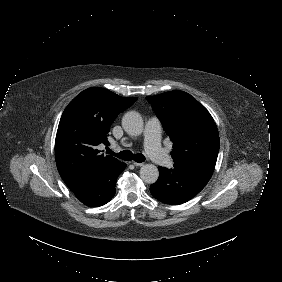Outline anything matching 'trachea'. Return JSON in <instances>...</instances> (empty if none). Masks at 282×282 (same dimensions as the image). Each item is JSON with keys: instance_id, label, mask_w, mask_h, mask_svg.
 I'll use <instances>...</instances> for the list:
<instances>
[{"instance_id": "obj_1", "label": "trachea", "mask_w": 282, "mask_h": 282, "mask_svg": "<svg viewBox=\"0 0 282 282\" xmlns=\"http://www.w3.org/2000/svg\"><path fill=\"white\" fill-rule=\"evenodd\" d=\"M108 154H112L122 160H126V161H130V160H134L138 163H141L145 160V156L141 153H137V154H133V152H131L130 150H123L122 152L119 153H114L111 149L107 150Z\"/></svg>"}]
</instances>
